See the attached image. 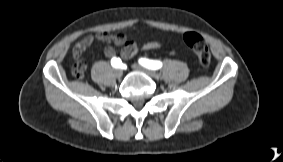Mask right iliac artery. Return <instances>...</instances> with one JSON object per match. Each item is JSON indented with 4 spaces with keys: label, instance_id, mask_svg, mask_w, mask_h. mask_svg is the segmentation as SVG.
Returning <instances> with one entry per match:
<instances>
[{
    "label": "right iliac artery",
    "instance_id": "82829eb1",
    "mask_svg": "<svg viewBox=\"0 0 283 162\" xmlns=\"http://www.w3.org/2000/svg\"><path fill=\"white\" fill-rule=\"evenodd\" d=\"M111 65L115 68H118L121 66V60L120 58L114 57L111 59Z\"/></svg>",
    "mask_w": 283,
    "mask_h": 162
}]
</instances>
